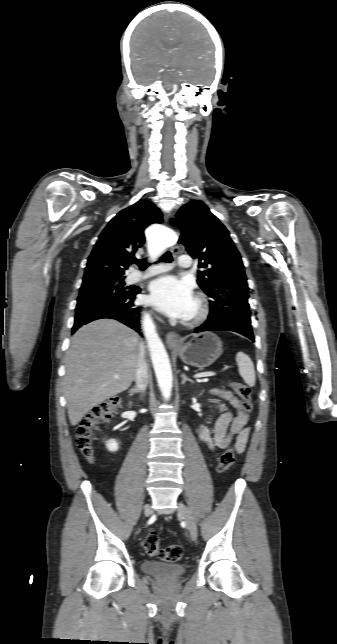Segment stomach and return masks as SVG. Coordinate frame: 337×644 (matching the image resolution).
Masks as SVG:
<instances>
[{
  "label": "stomach",
  "mask_w": 337,
  "mask_h": 644,
  "mask_svg": "<svg viewBox=\"0 0 337 644\" xmlns=\"http://www.w3.org/2000/svg\"><path fill=\"white\" fill-rule=\"evenodd\" d=\"M183 363L204 369L212 365L222 354V342L211 332L195 334L186 343L171 347Z\"/></svg>",
  "instance_id": "1"
}]
</instances>
